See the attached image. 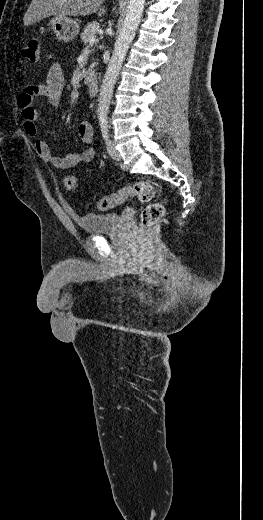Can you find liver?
I'll list each match as a JSON object with an SVG mask.
<instances>
[{"mask_svg": "<svg viewBox=\"0 0 263 520\" xmlns=\"http://www.w3.org/2000/svg\"><path fill=\"white\" fill-rule=\"evenodd\" d=\"M105 0H32L23 22L25 26L32 25L51 15L60 16H87L97 13L102 16L106 13L102 4Z\"/></svg>", "mask_w": 263, "mask_h": 520, "instance_id": "obj_1", "label": "liver"}]
</instances>
